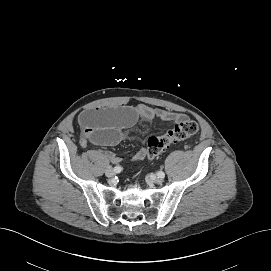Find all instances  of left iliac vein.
I'll use <instances>...</instances> for the list:
<instances>
[{
	"label": "left iliac vein",
	"instance_id": "1",
	"mask_svg": "<svg viewBox=\"0 0 271 271\" xmlns=\"http://www.w3.org/2000/svg\"><path fill=\"white\" fill-rule=\"evenodd\" d=\"M152 181H153L154 183L160 184V183L163 182V178H161V177H159V176H156V177H153V178H152Z\"/></svg>",
	"mask_w": 271,
	"mask_h": 271
}]
</instances>
